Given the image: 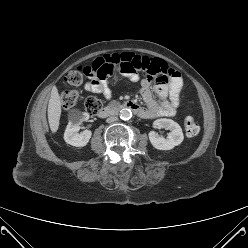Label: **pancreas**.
Instances as JSON below:
<instances>
[{"mask_svg": "<svg viewBox=\"0 0 248 248\" xmlns=\"http://www.w3.org/2000/svg\"><path fill=\"white\" fill-rule=\"evenodd\" d=\"M117 104H118V103H117V101H115V100H113V101L110 102V106H111V107H113V106H115V105H117Z\"/></svg>", "mask_w": 248, "mask_h": 248, "instance_id": "pancreas-1", "label": "pancreas"}]
</instances>
